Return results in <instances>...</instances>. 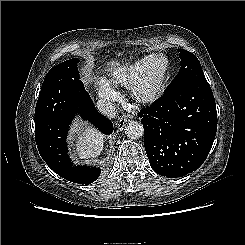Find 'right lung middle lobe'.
<instances>
[{"label":"right lung middle lobe","instance_id":"right-lung-middle-lobe-1","mask_svg":"<svg viewBox=\"0 0 245 245\" xmlns=\"http://www.w3.org/2000/svg\"><path fill=\"white\" fill-rule=\"evenodd\" d=\"M79 59L66 60L44 78L35 109L36 119H58L91 111L92 100L79 78Z\"/></svg>","mask_w":245,"mask_h":245}]
</instances>
